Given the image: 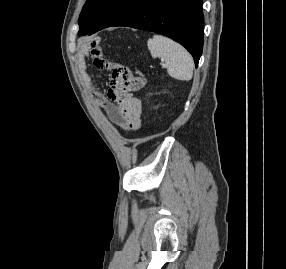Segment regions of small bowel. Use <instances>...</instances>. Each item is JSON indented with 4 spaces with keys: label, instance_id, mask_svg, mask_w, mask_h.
<instances>
[{
    "label": "small bowel",
    "instance_id": "obj_1",
    "mask_svg": "<svg viewBox=\"0 0 286 269\" xmlns=\"http://www.w3.org/2000/svg\"><path fill=\"white\" fill-rule=\"evenodd\" d=\"M87 53L91 55L97 68L110 70L113 64L104 59L101 47L97 42L90 43L80 55L83 81L94 101L95 107L98 110H103L109 120L118 126L122 132L137 130L140 127L142 110H123V95H120L116 91V88H113L111 82L107 98L101 93L99 84L89 74V68L85 62ZM114 66H116V64H114ZM135 78L143 77L137 76ZM143 85H145V83H143Z\"/></svg>",
    "mask_w": 286,
    "mask_h": 269
}]
</instances>
